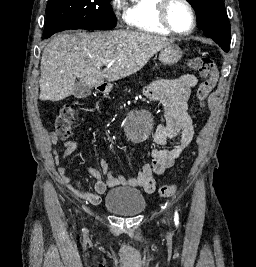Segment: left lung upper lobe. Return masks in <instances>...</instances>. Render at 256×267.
<instances>
[{
  "instance_id": "obj_1",
  "label": "left lung upper lobe",
  "mask_w": 256,
  "mask_h": 267,
  "mask_svg": "<svg viewBox=\"0 0 256 267\" xmlns=\"http://www.w3.org/2000/svg\"><path fill=\"white\" fill-rule=\"evenodd\" d=\"M194 8L197 25L226 52L230 48V24L222 0H187Z\"/></svg>"
}]
</instances>
